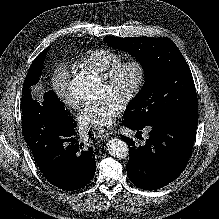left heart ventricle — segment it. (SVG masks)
I'll return each instance as SVG.
<instances>
[{"label": "left heart ventricle", "mask_w": 219, "mask_h": 219, "mask_svg": "<svg viewBox=\"0 0 219 219\" xmlns=\"http://www.w3.org/2000/svg\"><path fill=\"white\" fill-rule=\"evenodd\" d=\"M135 78L136 72L133 68L125 69L112 87H108L101 82L100 96L111 95L121 102L132 88Z\"/></svg>", "instance_id": "1"}]
</instances>
